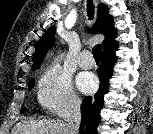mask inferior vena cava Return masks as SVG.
Listing matches in <instances>:
<instances>
[{"label": "inferior vena cava", "instance_id": "1", "mask_svg": "<svg viewBox=\"0 0 153 134\" xmlns=\"http://www.w3.org/2000/svg\"><path fill=\"white\" fill-rule=\"evenodd\" d=\"M81 101L73 100L64 114V134H78L81 123Z\"/></svg>", "mask_w": 153, "mask_h": 134}]
</instances>
